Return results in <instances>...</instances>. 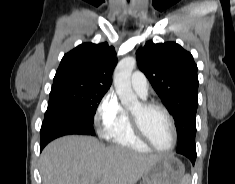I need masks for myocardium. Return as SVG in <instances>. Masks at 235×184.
Instances as JSON below:
<instances>
[{"label":"myocardium","mask_w":235,"mask_h":184,"mask_svg":"<svg viewBox=\"0 0 235 184\" xmlns=\"http://www.w3.org/2000/svg\"><path fill=\"white\" fill-rule=\"evenodd\" d=\"M141 108L143 111H149L153 108H158L161 109L168 117L170 125H171V130H172V143L171 146L168 149H160L158 148L154 142L151 140L150 136L148 135L146 129L144 128L141 120L139 117H137L134 114H131V124L133 131L135 135L141 139L149 148H151L154 152L162 155H168L171 154L177 145V140H178V133H177V127H176V122L173 114L171 111L163 104L159 102H141L140 103Z\"/></svg>","instance_id":"f54148a6"}]
</instances>
